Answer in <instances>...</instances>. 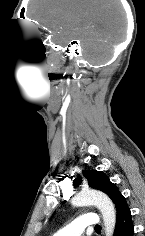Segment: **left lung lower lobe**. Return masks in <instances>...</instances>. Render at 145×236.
Here are the masks:
<instances>
[{"label": "left lung lower lobe", "mask_w": 145, "mask_h": 236, "mask_svg": "<svg viewBox=\"0 0 145 236\" xmlns=\"http://www.w3.org/2000/svg\"><path fill=\"white\" fill-rule=\"evenodd\" d=\"M134 226L129 207L117 213L114 236H133Z\"/></svg>", "instance_id": "1"}]
</instances>
